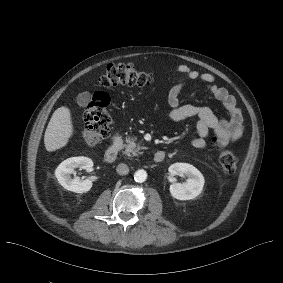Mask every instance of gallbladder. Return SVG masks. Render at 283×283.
Masks as SVG:
<instances>
[{"mask_svg": "<svg viewBox=\"0 0 283 283\" xmlns=\"http://www.w3.org/2000/svg\"><path fill=\"white\" fill-rule=\"evenodd\" d=\"M90 100V93L89 92H83L78 95L77 97V103L79 106L85 107Z\"/></svg>", "mask_w": 283, "mask_h": 283, "instance_id": "bac80fb5", "label": "gallbladder"}]
</instances>
